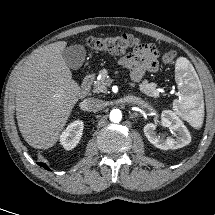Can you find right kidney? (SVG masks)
Returning a JSON list of instances; mask_svg holds the SVG:
<instances>
[{
  "label": "right kidney",
  "instance_id": "obj_1",
  "mask_svg": "<svg viewBox=\"0 0 215 215\" xmlns=\"http://www.w3.org/2000/svg\"><path fill=\"white\" fill-rule=\"evenodd\" d=\"M84 124L81 120L74 121L60 135V142L66 150L73 149L81 139Z\"/></svg>",
  "mask_w": 215,
  "mask_h": 215
}]
</instances>
